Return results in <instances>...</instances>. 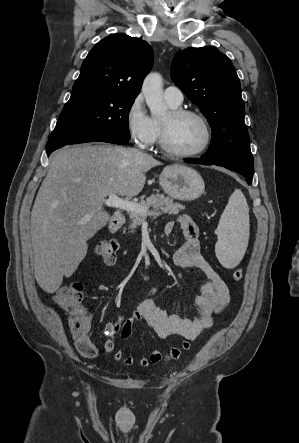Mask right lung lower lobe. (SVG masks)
<instances>
[{"label": "right lung lower lobe", "mask_w": 299, "mask_h": 443, "mask_svg": "<svg viewBox=\"0 0 299 443\" xmlns=\"http://www.w3.org/2000/svg\"><path fill=\"white\" fill-rule=\"evenodd\" d=\"M94 141L124 145L127 144L129 140L115 134L100 133V134L77 137L69 141L47 142L46 144L47 155L49 156L53 151L65 145L94 142Z\"/></svg>", "instance_id": "1"}]
</instances>
